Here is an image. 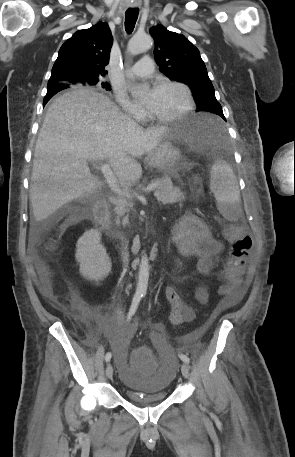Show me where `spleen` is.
Listing matches in <instances>:
<instances>
[{
	"label": "spleen",
	"instance_id": "obj_1",
	"mask_svg": "<svg viewBox=\"0 0 295 457\" xmlns=\"http://www.w3.org/2000/svg\"><path fill=\"white\" fill-rule=\"evenodd\" d=\"M210 189L219 212L228 220L239 210L240 190L231 167L223 160H216L211 169Z\"/></svg>",
	"mask_w": 295,
	"mask_h": 457
}]
</instances>
